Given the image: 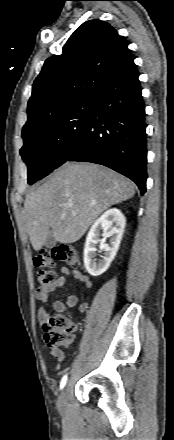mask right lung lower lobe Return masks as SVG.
<instances>
[{
	"label": "right lung lower lobe",
	"instance_id": "1",
	"mask_svg": "<svg viewBox=\"0 0 174 440\" xmlns=\"http://www.w3.org/2000/svg\"><path fill=\"white\" fill-rule=\"evenodd\" d=\"M138 77L133 62L94 90L87 128L66 161L107 166L134 181L144 194L147 138Z\"/></svg>",
	"mask_w": 174,
	"mask_h": 440
}]
</instances>
